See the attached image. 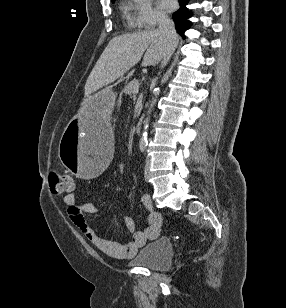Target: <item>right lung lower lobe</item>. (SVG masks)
Masks as SVG:
<instances>
[{
	"label": "right lung lower lobe",
	"mask_w": 286,
	"mask_h": 308,
	"mask_svg": "<svg viewBox=\"0 0 286 308\" xmlns=\"http://www.w3.org/2000/svg\"><path fill=\"white\" fill-rule=\"evenodd\" d=\"M188 1L189 0H179V4L181 7L173 14V20L175 22L177 32L184 38V32L191 26V23L188 18L192 16V12L190 11L188 13V9L186 8V4H188Z\"/></svg>",
	"instance_id": "right-lung-lower-lobe-1"
}]
</instances>
